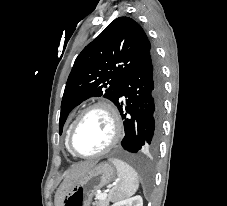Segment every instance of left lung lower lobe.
Wrapping results in <instances>:
<instances>
[{
  "mask_svg": "<svg viewBox=\"0 0 227 206\" xmlns=\"http://www.w3.org/2000/svg\"><path fill=\"white\" fill-rule=\"evenodd\" d=\"M164 85L155 55H147L124 79L116 106L124 120L121 148L131 152H152L161 132ZM122 96L127 97L123 110Z\"/></svg>",
  "mask_w": 227,
  "mask_h": 206,
  "instance_id": "0a47b994",
  "label": "left lung lower lobe"
}]
</instances>
